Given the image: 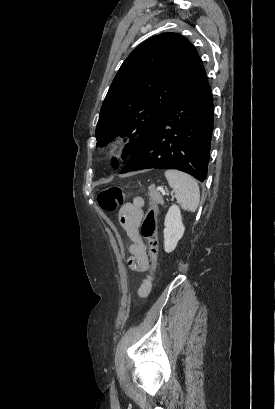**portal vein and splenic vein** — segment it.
Wrapping results in <instances>:
<instances>
[{"instance_id":"18ae733b","label":"portal vein and splenic vein","mask_w":275,"mask_h":409,"mask_svg":"<svg viewBox=\"0 0 275 409\" xmlns=\"http://www.w3.org/2000/svg\"><path fill=\"white\" fill-rule=\"evenodd\" d=\"M157 190H161L162 194H166L163 186H157Z\"/></svg>"}]
</instances>
